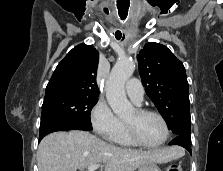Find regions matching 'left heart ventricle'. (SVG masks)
<instances>
[{
  "instance_id": "obj_1",
  "label": "left heart ventricle",
  "mask_w": 223,
  "mask_h": 171,
  "mask_svg": "<svg viewBox=\"0 0 223 171\" xmlns=\"http://www.w3.org/2000/svg\"><path fill=\"white\" fill-rule=\"evenodd\" d=\"M123 121L129 124L138 138L146 144L155 145L164 137V126L160 119L154 115L139 116L135 110H132L124 117Z\"/></svg>"
}]
</instances>
